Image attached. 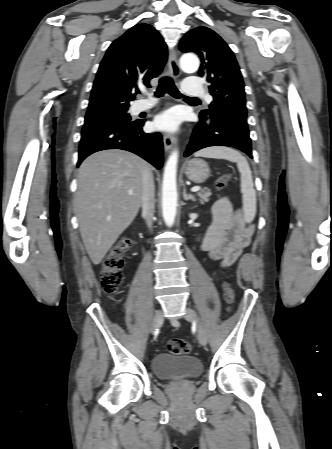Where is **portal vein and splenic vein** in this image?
Segmentation results:
<instances>
[{"label": "portal vein and splenic vein", "mask_w": 332, "mask_h": 449, "mask_svg": "<svg viewBox=\"0 0 332 449\" xmlns=\"http://www.w3.org/2000/svg\"><path fill=\"white\" fill-rule=\"evenodd\" d=\"M200 189H201V188H200L199 186H196V187H193V188L191 189V191H192V192H197V191H199ZM128 194H129V195H132L133 193H132V191H129Z\"/></svg>", "instance_id": "obj_1"}]
</instances>
